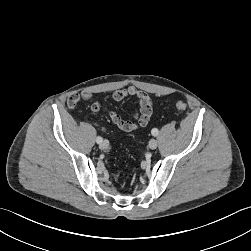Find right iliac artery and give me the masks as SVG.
<instances>
[{
    "instance_id": "obj_1",
    "label": "right iliac artery",
    "mask_w": 251,
    "mask_h": 251,
    "mask_svg": "<svg viewBox=\"0 0 251 251\" xmlns=\"http://www.w3.org/2000/svg\"><path fill=\"white\" fill-rule=\"evenodd\" d=\"M102 141H103L102 137L98 136V137L96 138V142H97L98 144H100Z\"/></svg>"
}]
</instances>
